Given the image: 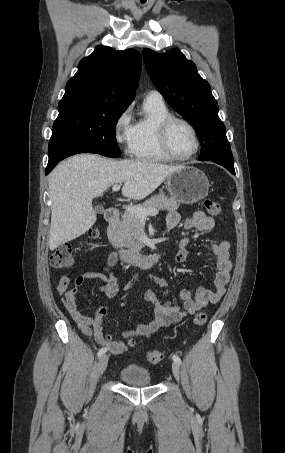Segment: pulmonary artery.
I'll return each mask as SVG.
<instances>
[{"mask_svg": "<svg viewBox=\"0 0 285 453\" xmlns=\"http://www.w3.org/2000/svg\"><path fill=\"white\" fill-rule=\"evenodd\" d=\"M146 100H151V101H155V102H164L163 96L161 95L160 92H158L156 90H152V91L148 92V94L146 96Z\"/></svg>", "mask_w": 285, "mask_h": 453, "instance_id": "1", "label": "pulmonary artery"}]
</instances>
